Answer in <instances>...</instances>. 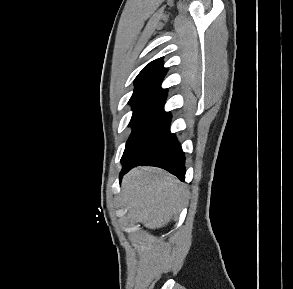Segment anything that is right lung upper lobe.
Instances as JSON below:
<instances>
[{"instance_id": "cb5924a9", "label": "right lung upper lobe", "mask_w": 293, "mask_h": 289, "mask_svg": "<svg viewBox=\"0 0 293 289\" xmlns=\"http://www.w3.org/2000/svg\"><path fill=\"white\" fill-rule=\"evenodd\" d=\"M167 72L163 67L162 58L150 62L135 79V90L130 101H160L165 102L166 90L161 88V82Z\"/></svg>"}]
</instances>
